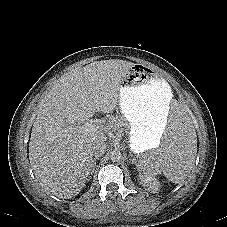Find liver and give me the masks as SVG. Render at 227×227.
Instances as JSON below:
<instances>
[{"instance_id":"obj_1","label":"liver","mask_w":227,"mask_h":227,"mask_svg":"<svg viewBox=\"0 0 227 227\" xmlns=\"http://www.w3.org/2000/svg\"><path fill=\"white\" fill-rule=\"evenodd\" d=\"M134 65L123 60L92 62L61 76L40 101L29 142V160L41 186L62 199L85 187L92 169V147L115 128L111 116L96 131L77 126L95 112L112 113L119 105L121 80Z\"/></svg>"}]
</instances>
